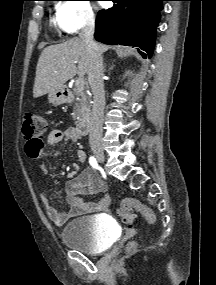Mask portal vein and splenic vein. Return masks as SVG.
Returning <instances> with one entry per match:
<instances>
[{
    "instance_id": "18ae733b",
    "label": "portal vein and splenic vein",
    "mask_w": 216,
    "mask_h": 285,
    "mask_svg": "<svg viewBox=\"0 0 216 285\" xmlns=\"http://www.w3.org/2000/svg\"><path fill=\"white\" fill-rule=\"evenodd\" d=\"M75 85L78 86V87H82L85 85V81H84V78L82 76H80L76 82H75Z\"/></svg>"
}]
</instances>
